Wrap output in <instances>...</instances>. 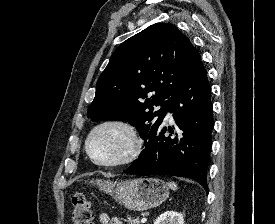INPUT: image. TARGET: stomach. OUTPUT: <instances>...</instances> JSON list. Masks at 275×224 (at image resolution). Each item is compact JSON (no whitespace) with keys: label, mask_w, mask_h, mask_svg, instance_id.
I'll list each match as a JSON object with an SVG mask.
<instances>
[{"label":"stomach","mask_w":275,"mask_h":224,"mask_svg":"<svg viewBox=\"0 0 275 224\" xmlns=\"http://www.w3.org/2000/svg\"><path fill=\"white\" fill-rule=\"evenodd\" d=\"M101 191L133 211H145L161 205L169 196L167 184L158 178H139L121 182L91 181Z\"/></svg>","instance_id":"stomach-1"}]
</instances>
